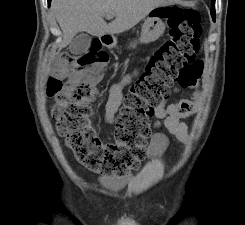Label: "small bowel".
Instances as JSON below:
<instances>
[{
	"instance_id": "small-bowel-1",
	"label": "small bowel",
	"mask_w": 245,
	"mask_h": 225,
	"mask_svg": "<svg viewBox=\"0 0 245 225\" xmlns=\"http://www.w3.org/2000/svg\"><path fill=\"white\" fill-rule=\"evenodd\" d=\"M137 74L138 70L123 76L119 81L110 86L103 115V119L108 125H114L116 123L118 110L122 104L123 90L134 80ZM180 88L181 86L176 84L174 86V92H179ZM153 117L155 118L154 126L156 128L164 126L179 141L184 142L187 140L185 127L180 122V117L176 114V104H167L166 101H162L156 107ZM166 142L167 139L163 134L156 133L151 138L146 156L148 158L160 157L164 152Z\"/></svg>"
}]
</instances>
